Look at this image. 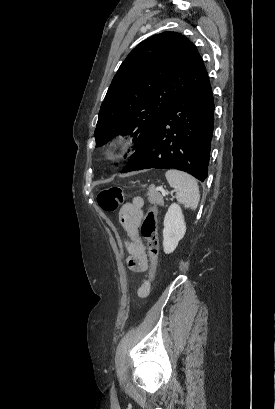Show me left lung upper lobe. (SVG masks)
<instances>
[{"mask_svg":"<svg viewBox=\"0 0 275 409\" xmlns=\"http://www.w3.org/2000/svg\"><path fill=\"white\" fill-rule=\"evenodd\" d=\"M207 77L195 45L176 32L137 45L119 67L101 105L96 146L137 128L139 147L166 111Z\"/></svg>","mask_w":275,"mask_h":409,"instance_id":"obj_1","label":"left lung upper lobe"}]
</instances>
